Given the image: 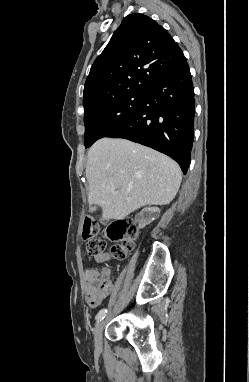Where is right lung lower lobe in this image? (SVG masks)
Listing matches in <instances>:
<instances>
[{
	"instance_id": "obj_1",
	"label": "right lung lower lobe",
	"mask_w": 249,
	"mask_h": 382,
	"mask_svg": "<svg viewBox=\"0 0 249 382\" xmlns=\"http://www.w3.org/2000/svg\"><path fill=\"white\" fill-rule=\"evenodd\" d=\"M194 89L187 62L171 70L147 91L141 109L107 137L124 138L175 159L184 174L194 136Z\"/></svg>"
}]
</instances>
